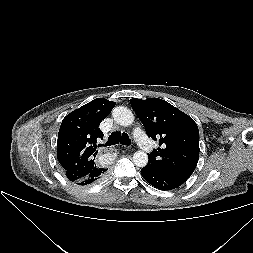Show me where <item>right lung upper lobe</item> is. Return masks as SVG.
Here are the masks:
<instances>
[{"label":"right lung upper lobe","instance_id":"1","mask_svg":"<svg viewBox=\"0 0 253 253\" xmlns=\"http://www.w3.org/2000/svg\"><path fill=\"white\" fill-rule=\"evenodd\" d=\"M115 104L96 98L63 119L58 134L57 159L70 181L80 182L100 169L95 162L96 143L103 138L99 125Z\"/></svg>","mask_w":253,"mask_h":253}]
</instances>
